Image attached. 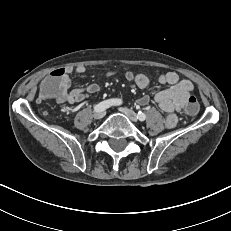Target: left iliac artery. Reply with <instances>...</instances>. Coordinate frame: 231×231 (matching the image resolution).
Listing matches in <instances>:
<instances>
[{
  "label": "left iliac artery",
  "mask_w": 231,
  "mask_h": 231,
  "mask_svg": "<svg viewBox=\"0 0 231 231\" xmlns=\"http://www.w3.org/2000/svg\"><path fill=\"white\" fill-rule=\"evenodd\" d=\"M137 118H138L140 121H144V120L146 119V115H145L143 112L139 111V112L137 113Z\"/></svg>",
  "instance_id": "left-iliac-artery-1"
}]
</instances>
